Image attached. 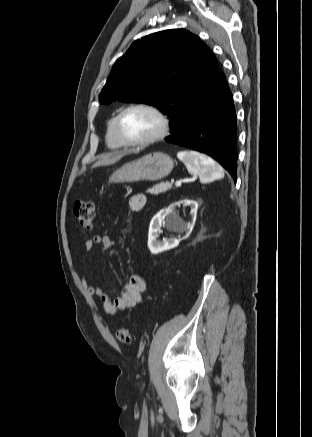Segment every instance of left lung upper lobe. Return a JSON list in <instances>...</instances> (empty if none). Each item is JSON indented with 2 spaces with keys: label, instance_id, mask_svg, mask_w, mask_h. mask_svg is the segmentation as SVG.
<instances>
[{
  "label": "left lung upper lobe",
  "instance_id": "1",
  "mask_svg": "<svg viewBox=\"0 0 312 437\" xmlns=\"http://www.w3.org/2000/svg\"><path fill=\"white\" fill-rule=\"evenodd\" d=\"M218 74L215 57L197 36L183 29L160 31L135 41L115 62L99 102L155 106L173 131Z\"/></svg>",
  "mask_w": 312,
  "mask_h": 437
}]
</instances>
